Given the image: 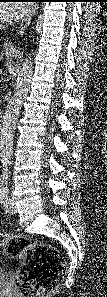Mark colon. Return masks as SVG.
<instances>
[{"mask_svg": "<svg viewBox=\"0 0 107 297\" xmlns=\"http://www.w3.org/2000/svg\"><path fill=\"white\" fill-rule=\"evenodd\" d=\"M0 246L7 256L23 262L17 286L25 297H43L55 290L65 270L64 259L55 247L7 233H1Z\"/></svg>", "mask_w": 107, "mask_h": 297, "instance_id": "colon-1", "label": "colon"}]
</instances>
